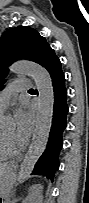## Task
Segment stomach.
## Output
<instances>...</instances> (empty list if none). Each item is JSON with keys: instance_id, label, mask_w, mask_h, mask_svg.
<instances>
[{"instance_id": "obj_1", "label": "stomach", "mask_w": 89, "mask_h": 203, "mask_svg": "<svg viewBox=\"0 0 89 203\" xmlns=\"http://www.w3.org/2000/svg\"><path fill=\"white\" fill-rule=\"evenodd\" d=\"M14 171L15 167L13 165L8 166L5 171V174L1 181L4 194H8L12 188L11 183L14 177Z\"/></svg>"}]
</instances>
